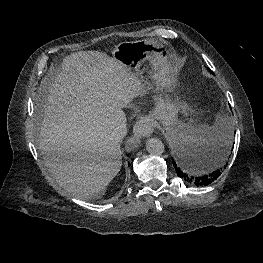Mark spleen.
<instances>
[{"label": "spleen", "instance_id": "3e777b00", "mask_svg": "<svg viewBox=\"0 0 263 263\" xmlns=\"http://www.w3.org/2000/svg\"><path fill=\"white\" fill-rule=\"evenodd\" d=\"M232 124L226 118H218L212 126H194L178 123L170 134V143L183 152H201L200 167L203 171L221 166L229 154L232 143Z\"/></svg>", "mask_w": 263, "mask_h": 263}]
</instances>
